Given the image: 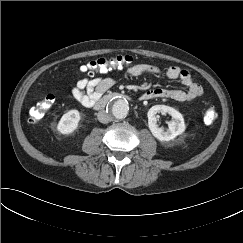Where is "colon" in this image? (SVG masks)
<instances>
[{"instance_id": "5ec220e1", "label": "colon", "mask_w": 243, "mask_h": 243, "mask_svg": "<svg viewBox=\"0 0 243 243\" xmlns=\"http://www.w3.org/2000/svg\"><path fill=\"white\" fill-rule=\"evenodd\" d=\"M133 58L130 55L118 54L112 57H100L81 66L80 71L87 76H93L95 73H104L111 68L122 67L132 63ZM55 102V96L48 94L42 101L34 106L29 112L30 121L38 122L43 118L45 113L52 107ZM217 119V112L214 108L209 107L204 113L206 124H212Z\"/></svg>"}]
</instances>
